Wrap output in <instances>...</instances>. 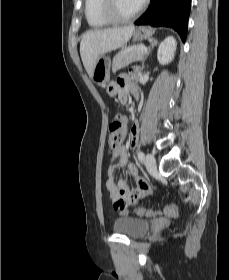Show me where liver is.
Returning a JSON list of instances; mask_svg holds the SVG:
<instances>
[{
    "label": "liver",
    "mask_w": 229,
    "mask_h": 280,
    "mask_svg": "<svg viewBox=\"0 0 229 280\" xmlns=\"http://www.w3.org/2000/svg\"><path fill=\"white\" fill-rule=\"evenodd\" d=\"M135 30L134 26L86 31L80 43L83 65L91 76L97 60L108 52L125 45Z\"/></svg>",
    "instance_id": "liver-1"
}]
</instances>
